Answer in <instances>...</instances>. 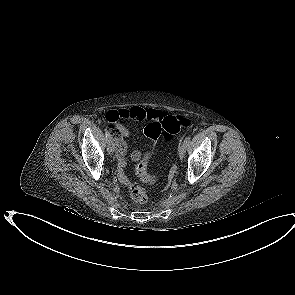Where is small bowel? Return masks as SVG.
Returning <instances> with one entry per match:
<instances>
[{"mask_svg": "<svg viewBox=\"0 0 295 295\" xmlns=\"http://www.w3.org/2000/svg\"><path fill=\"white\" fill-rule=\"evenodd\" d=\"M165 117L164 113L156 109H144L142 107H133L128 110H112L106 114V119L114 123L116 130L119 132L120 136L116 139L117 146V157L119 166L116 169L117 181L122 183L124 187H129L131 185V180L126 178L125 169L123 168L126 164L127 155V142L126 137L129 136V129L126 126L127 120H148L151 122H159ZM142 153L139 150H135L131 153L130 157L133 161L140 160Z\"/></svg>", "mask_w": 295, "mask_h": 295, "instance_id": "c3829d8e", "label": "small bowel"}]
</instances>
